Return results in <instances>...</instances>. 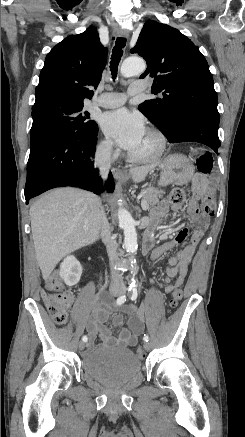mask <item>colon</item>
Returning a JSON list of instances; mask_svg holds the SVG:
<instances>
[{"label": "colon", "instance_id": "5ec220e1", "mask_svg": "<svg viewBox=\"0 0 245 437\" xmlns=\"http://www.w3.org/2000/svg\"><path fill=\"white\" fill-rule=\"evenodd\" d=\"M213 168V157L209 152H201L197 158V169L204 176H209ZM214 192L210 191L204 201V212L207 215L214 213ZM185 199V192L182 188H175L169 195L172 203L181 204ZM182 290L174 289L169 300V306L174 309L182 299ZM47 309L56 324L62 325L67 319V309L72 301V293L64 291L62 283L57 276H52L46 280L45 291L43 293ZM135 353L143 357L144 351L138 346Z\"/></svg>", "mask_w": 245, "mask_h": 437}]
</instances>
